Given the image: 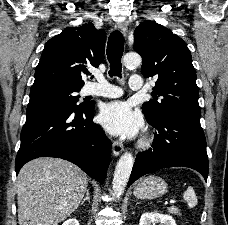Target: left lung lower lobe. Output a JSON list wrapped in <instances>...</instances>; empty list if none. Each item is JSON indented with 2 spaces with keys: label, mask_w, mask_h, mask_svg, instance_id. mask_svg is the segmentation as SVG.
Listing matches in <instances>:
<instances>
[{
  "label": "left lung lower lobe",
  "mask_w": 228,
  "mask_h": 225,
  "mask_svg": "<svg viewBox=\"0 0 228 225\" xmlns=\"http://www.w3.org/2000/svg\"><path fill=\"white\" fill-rule=\"evenodd\" d=\"M148 122L157 132L152 148L136 156L128 186L145 174L177 166L192 168L207 181L209 162L200 116L167 113Z\"/></svg>",
  "instance_id": "obj_1"
}]
</instances>
